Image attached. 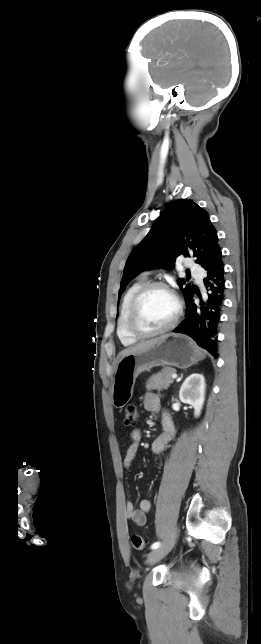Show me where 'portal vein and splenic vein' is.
<instances>
[{
	"mask_svg": "<svg viewBox=\"0 0 261 644\" xmlns=\"http://www.w3.org/2000/svg\"><path fill=\"white\" fill-rule=\"evenodd\" d=\"M172 378H173V379H176V378H177V374H176V373H174V374L172 375Z\"/></svg>",
	"mask_w": 261,
	"mask_h": 644,
	"instance_id": "obj_1",
	"label": "portal vein and splenic vein"
}]
</instances>
